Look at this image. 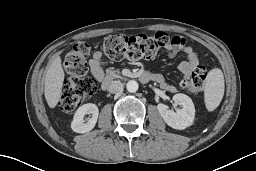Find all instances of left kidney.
<instances>
[{
	"label": "left kidney",
	"mask_w": 256,
	"mask_h": 171,
	"mask_svg": "<svg viewBox=\"0 0 256 171\" xmlns=\"http://www.w3.org/2000/svg\"><path fill=\"white\" fill-rule=\"evenodd\" d=\"M173 101L175 105H180L182 108L177 109L175 112L162 103L157 105V109L165 123L178 130L191 126L195 118V107L191 98L179 93L173 96Z\"/></svg>",
	"instance_id": "left-kidney-1"
}]
</instances>
